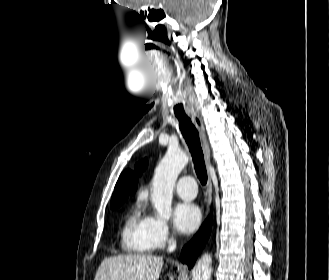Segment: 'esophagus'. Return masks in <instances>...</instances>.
<instances>
[{
	"mask_svg": "<svg viewBox=\"0 0 329 280\" xmlns=\"http://www.w3.org/2000/svg\"><path fill=\"white\" fill-rule=\"evenodd\" d=\"M189 115L192 119V122L194 123V125L196 126V128L200 134L202 148H203V152H204V156H205V161H206L207 167H209L210 161H211V154H210V147H209L208 140L206 137V132H205L203 121L197 112H191ZM211 199H212V183H211V178L209 177L207 186H206L207 208H206L205 217H207V215L209 214Z\"/></svg>",
	"mask_w": 329,
	"mask_h": 280,
	"instance_id": "esophagus-1",
	"label": "esophagus"
}]
</instances>
